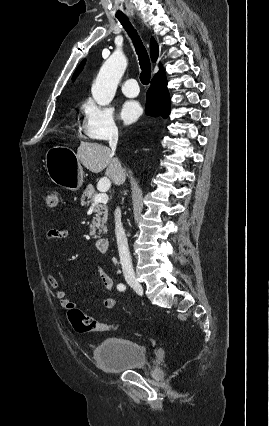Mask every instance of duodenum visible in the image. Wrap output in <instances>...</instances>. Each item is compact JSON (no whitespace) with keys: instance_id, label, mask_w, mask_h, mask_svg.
Returning <instances> with one entry per match:
<instances>
[{"instance_id":"410a0bca","label":"duodenum","mask_w":269,"mask_h":426,"mask_svg":"<svg viewBox=\"0 0 269 426\" xmlns=\"http://www.w3.org/2000/svg\"><path fill=\"white\" fill-rule=\"evenodd\" d=\"M109 239L108 238H99L96 242V247L100 253H107L109 251Z\"/></svg>"}]
</instances>
